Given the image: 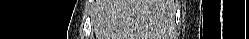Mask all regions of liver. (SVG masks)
<instances>
[{"instance_id":"obj_1","label":"liver","mask_w":249,"mask_h":39,"mask_svg":"<svg viewBox=\"0 0 249 39\" xmlns=\"http://www.w3.org/2000/svg\"><path fill=\"white\" fill-rule=\"evenodd\" d=\"M171 11V0H102L96 10L97 39H164Z\"/></svg>"}]
</instances>
